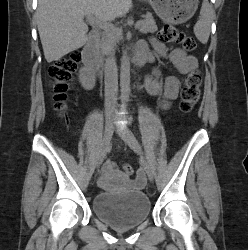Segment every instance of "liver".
<instances>
[{
	"label": "liver",
	"instance_id": "liver-1",
	"mask_svg": "<svg viewBox=\"0 0 248 250\" xmlns=\"http://www.w3.org/2000/svg\"><path fill=\"white\" fill-rule=\"evenodd\" d=\"M131 7L132 0H39L36 20L46 61L59 60L87 43L85 16L107 22Z\"/></svg>",
	"mask_w": 248,
	"mask_h": 250
}]
</instances>
